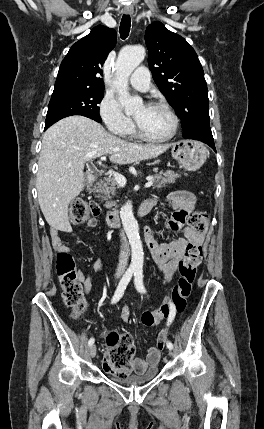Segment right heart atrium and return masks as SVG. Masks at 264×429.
<instances>
[{"instance_id": "obj_1", "label": "right heart atrium", "mask_w": 264, "mask_h": 429, "mask_svg": "<svg viewBox=\"0 0 264 429\" xmlns=\"http://www.w3.org/2000/svg\"><path fill=\"white\" fill-rule=\"evenodd\" d=\"M99 116L108 129L116 136L125 137L133 131V121L126 116L119 103L110 95H105L98 107Z\"/></svg>"}]
</instances>
